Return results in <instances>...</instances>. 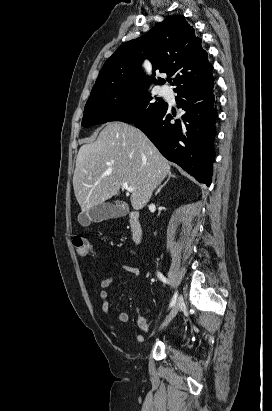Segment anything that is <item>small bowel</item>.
<instances>
[{
  "label": "small bowel",
  "instance_id": "obj_1",
  "mask_svg": "<svg viewBox=\"0 0 272 411\" xmlns=\"http://www.w3.org/2000/svg\"><path fill=\"white\" fill-rule=\"evenodd\" d=\"M118 270L127 272L134 277H138L140 275V270L135 266H128V265H120ZM115 281V277H108L101 281L100 287L101 290L99 292V298L101 300V308L104 315L109 318L110 316V304L108 302V292L107 288L111 286ZM116 318L120 322H127L129 319V315L126 312H119L116 315ZM137 325L142 331V333H138L135 336L136 342H142L144 340V333L147 334L150 331V326L148 320L141 314L139 310H137ZM109 329L113 333H118L117 327L113 323H109Z\"/></svg>",
  "mask_w": 272,
  "mask_h": 411
}]
</instances>
